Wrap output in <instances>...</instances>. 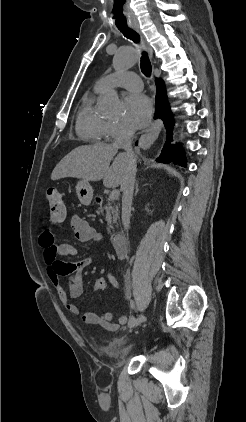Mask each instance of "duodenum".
<instances>
[{"instance_id": "duodenum-1", "label": "duodenum", "mask_w": 246, "mask_h": 422, "mask_svg": "<svg viewBox=\"0 0 246 422\" xmlns=\"http://www.w3.org/2000/svg\"><path fill=\"white\" fill-rule=\"evenodd\" d=\"M110 241L116 255L119 258H123L126 255L127 251V246L123 235L120 232H114L110 236Z\"/></svg>"}]
</instances>
